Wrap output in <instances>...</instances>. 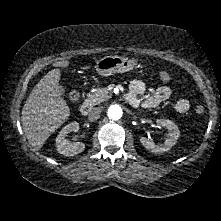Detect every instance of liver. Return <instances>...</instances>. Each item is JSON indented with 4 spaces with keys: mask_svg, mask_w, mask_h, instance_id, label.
Wrapping results in <instances>:
<instances>
[{
    "mask_svg": "<svg viewBox=\"0 0 221 221\" xmlns=\"http://www.w3.org/2000/svg\"><path fill=\"white\" fill-rule=\"evenodd\" d=\"M60 76L59 68L49 71L34 87L22 109L23 130L35 151L40 150L70 115V109L61 97Z\"/></svg>",
    "mask_w": 221,
    "mask_h": 221,
    "instance_id": "obj_1",
    "label": "liver"
}]
</instances>
